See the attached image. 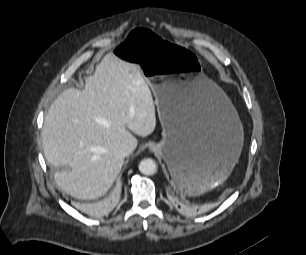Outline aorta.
Listing matches in <instances>:
<instances>
[{
  "label": "aorta",
  "mask_w": 306,
  "mask_h": 255,
  "mask_svg": "<svg viewBox=\"0 0 306 255\" xmlns=\"http://www.w3.org/2000/svg\"><path fill=\"white\" fill-rule=\"evenodd\" d=\"M157 169L156 162L151 158L143 159L139 163V171L144 175H153L157 172Z\"/></svg>",
  "instance_id": "aorta-1"
}]
</instances>
